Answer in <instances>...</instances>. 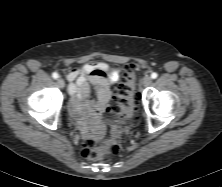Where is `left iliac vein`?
<instances>
[{"instance_id":"obj_1","label":"left iliac vein","mask_w":222,"mask_h":187,"mask_svg":"<svg viewBox=\"0 0 222 187\" xmlns=\"http://www.w3.org/2000/svg\"><path fill=\"white\" fill-rule=\"evenodd\" d=\"M152 83V79L150 76H145L142 80V84L143 86L147 87V86H150Z\"/></svg>"}]
</instances>
